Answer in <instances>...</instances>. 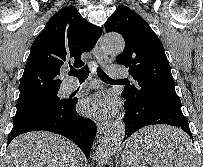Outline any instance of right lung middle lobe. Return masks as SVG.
<instances>
[{
	"mask_svg": "<svg viewBox=\"0 0 203 167\" xmlns=\"http://www.w3.org/2000/svg\"><path fill=\"white\" fill-rule=\"evenodd\" d=\"M57 93L58 92H54L31 102L17 105V111L13 118V124H18L39 114L64 108L69 103V99H60L57 96Z\"/></svg>",
	"mask_w": 203,
	"mask_h": 167,
	"instance_id": "obj_1",
	"label": "right lung middle lobe"
}]
</instances>
